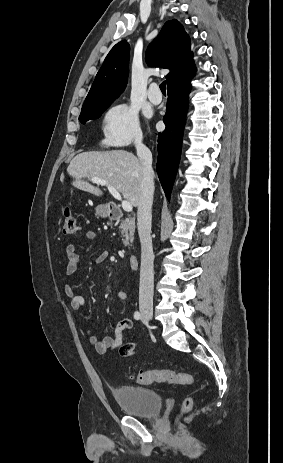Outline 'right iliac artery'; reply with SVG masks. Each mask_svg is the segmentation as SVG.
Wrapping results in <instances>:
<instances>
[{
  "mask_svg": "<svg viewBox=\"0 0 283 463\" xmlns=\"http://www.w3.org/2000/svg\"><path fill=\"white\" fill-rule=\"evenodd\" d=\"M134 318H135L136 320H139V319L141 318L140 312L136 311V312L134 313Z\"/></svg>",
  "mask_w": 283,
  "mask_h": 463,
  "instance_id": "obj_1",
  "label": "right iliac artery"
}]
</instances>
